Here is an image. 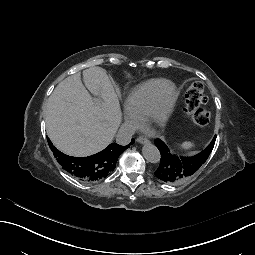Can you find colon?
<instances>
[{"mask_svg":"<svg viewBox=\"0 0 255 255\" xmlns=\"http://www.w3.org/2000/svg\"><path fill=\"white\" fill-rule=\"evenodd\" d=\"M206 102L204 86L200 82H193L185 95L186 112L194 123L200 126L207 125L210 121V112L203 107Z\"/></svg>","mask_w":255,"mask_h":255,"instance_id":"1","label":"colon"}]
</instances>
